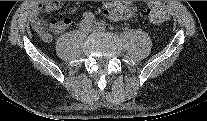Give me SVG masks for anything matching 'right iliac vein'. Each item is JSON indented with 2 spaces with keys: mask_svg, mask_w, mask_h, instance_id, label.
Here are the masks:
<instances>
[{
  "mask_svg": "<svg viewBox=\"0 0 207 121\" xmlns=\"http://www.w3.org/2000/svg\"><path fill=\"white\" fill-rule=\"evenodd\" d=\"M85 28H88V25L86 23L83 24Z\"/></svg>",
  "mask_w": 207,
  "mask_h": 121,
  "instance_id": "63e3f726",
  "label": "right iliac vein"
}]
</instances>
